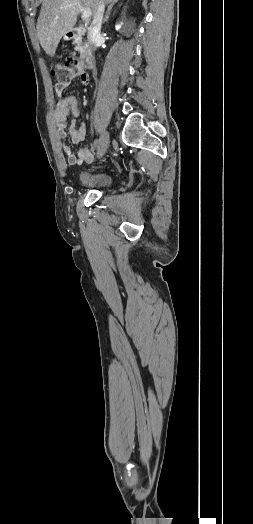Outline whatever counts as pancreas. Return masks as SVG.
<instances>
[{
  "mask_svg": "<svg viewBox=\"0 0 253 524\" xmlns=\"http://www.w3.org/2000/svg\"><path fill=\"white\" fill-rule=\"evenodd\" d=\"M84 49H85V46L83 44H81L80 42H76V46H75L76 51L83 53Z\"/></svg>",
  "mask_w": 253,
  "mask_h": 524,
  "instance_id": "cf45deb5",
  "label": "pancreas"
}]
</instances>
